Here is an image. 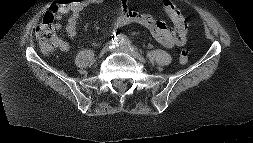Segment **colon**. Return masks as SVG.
I'll list each match as a JSON object with an SVG mask.
<instances>
[{
	"mask_svg": "<svg viewBox=\"0 0 253 143\" xmlns=\"http://www.w3.org/2000/svg\"><path fill=\"white\" fill-rule=\"evenodd\" d=\"M172 10L174 11L175 17L178 19L177 29L181 32H186L188 27L187 23L180 20L177 8ZM54 11L55 9L45 14L35 32L39 48L45 54L52 53L59 43L54 24ZM179 60L182 64H186L189 61V51L187 49H183L180 52Z\"/></svg>",
	"mask_w": 253,
	"mask_h": 143,
	"instance_id": "colon-1",
	"label": "colon"
}]
</instances>
